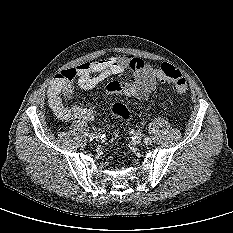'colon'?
I'll return each mask as SVG.
<instances>
[{
    "mask_svg": "<svg viewBox=\"0 0 233 233\" xmlns=\"http://www.w3.org/2000/svg\"><path fill=\"white\" fill-rule=\"evenodd\" d=\"M157 72V77L161 82H171L173 83L175 90L179 94H184L188 90L187 81L183 77L182 73L176 69L174 66L168 63H162L157 65L155 68ZM72 76L67 78L62 84V94L69 95L72 91ZM112 111L114 114L121 117L123 120H130L131 114L127 107L122 103H115L112 106Z\"/></svg>",
    "mask_w": 233,
    "mask_h": 233,
    "instance_id": "1",
    "label": "colon"
}]
</instances>
